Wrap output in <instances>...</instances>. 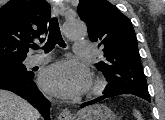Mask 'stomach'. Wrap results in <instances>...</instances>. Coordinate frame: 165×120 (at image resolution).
Segmentation results:
<instances>
[{
    "label": "stomach",
    "instance_id": "obj_1",
    "mask_svg": "<svg viewBox=\"0 0 165 120\" xmlns=\"http://www.w3.org/2000/svg\"><path fill=\"white\" fill-rule=\"evenodd\" d=\"M77 120H117V118L106 105L96 104L82 110Z\"/></svg>",
    "mask_w": 165,
    "mask_h": 120
}]
</instances>
